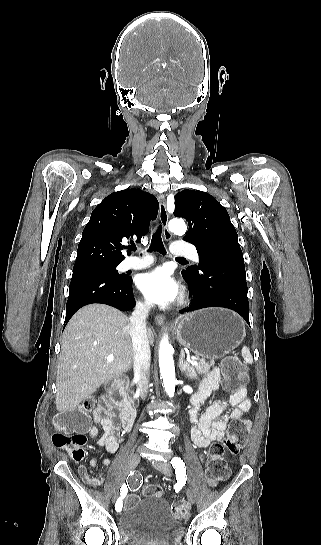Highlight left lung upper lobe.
<instances>
[{
    "label": "left lung upper lobe",
    "instance_id": "obj_1",
    "mask_svg": "<svg viewBox=\"0 0 321 545\" xmlns=\"http://www.w3.org/2000/svg\"><path fill=\"white\" fill-rule=\"evenodd\" d=\"M174 215L188 221L189 230L183 240L194 244L198 252L224 242L238 243L227 210L206 192L184 190L177 193ZM196 271L197 266H191L183 270L182 275Z\"/></svg>",
    "mask_w": 321,
    "mask_h": 545
}]
</instances>
